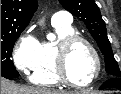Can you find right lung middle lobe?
I'll return each instance as SVG.
<instances>
[{"mask_svg":"<svg viewBox=\"0 0 121 94\" xmlns=\"http://www.w3.org/2000/svg\"><path fill=\"white\" fill-rule=\"evenodd\" d=\"M23 30L1 33V76L7 79L19 76L15 66L10 59L13 45Z\"/></svg>","mask_w":121,"mask_h":94,"instance_id":"dd1d6c3e","label":"right lung middle lobe"}]
</instances>
